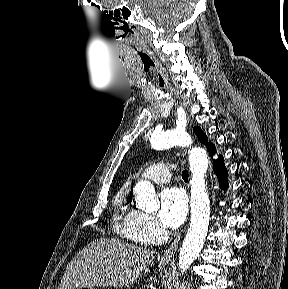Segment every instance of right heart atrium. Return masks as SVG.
<instances>
[{"label":"right heart atrium","instance_id":"d8ad5b80","mask_svg":"<svg viewBox=\"0 0 288 289\" xmlns=\"http://www.w3.org/2000/svg\"><path fill=\"white\" fill-rule=\"evenodd\" d=\"M140 239L145 243H154L164 238V228L150 215L139 212L134 224Z\"/></svg>","mask_w":288,"mask_h":289}]
</instances>
